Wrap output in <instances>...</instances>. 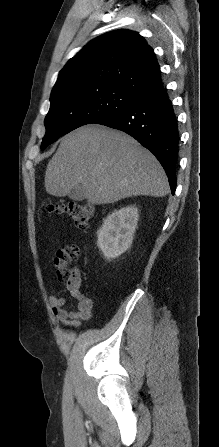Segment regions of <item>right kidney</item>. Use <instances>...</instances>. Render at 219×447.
Returning a JSON list of instances; mask_svg holds the SVG:
<instances>
[{
    "label": "right kidney",
    "mask_w": 219,
    "mask_h": 447,
    "mask_svg": "<svg viewBox=\"0 0 219 447\" xmlns=\"http://www.w3.org/2000/svg\"><path fill=\"white\" fill-rule=\"evenodd\" d=\"M139 219L135 206L113 211L97 231V245L107 259L123 254L132 244Z\"/></svg>",
    "instance_id": "1"
}]
</instances>
